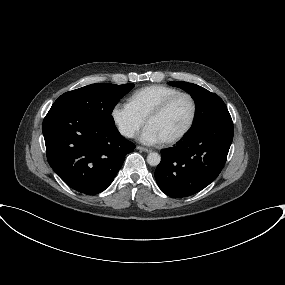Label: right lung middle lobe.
I'll return each mask as SVG.
<instances>
[{"mask_svg": "<svg viewBox=\"0 0 285 285\" xmlns=\"http://www.w3.org/2000/svg\"><path fill=\"white\" fill-rule=\"evenodd\" d=\"M134 84L114 85L109 83L91 84L61 95L52 106H64L75 110L91 120L115 126L111 113L117 102Z\"/></svg>", "mask_w": 285, "mask_h": 285, "instance_id": "right-lung-middle-lobe-1", "label": "right lung middle lobe"}]
</instances>
